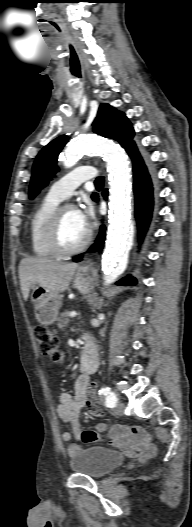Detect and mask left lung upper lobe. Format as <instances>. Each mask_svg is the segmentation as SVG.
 I'll use <instances>...</instances> for the list:
<instances>
[{
  "mask_svg": "<svg viewBox=\"0 0 192 527\" xmlns=\"http://www.w3.org/2000/svg\"><path fill=\"white\" fill-rule=\"evenodd\" d=\"M94 132L118 141L128 151L135 143L132 141L134 130L124 113L112 106L102 103L93 123ZM67 142V136H60L46 145L37 155L29 187V196L33 199L55 175L58 168L56 162L61 149ZM97 200V194L92 195Z\"/></svg>",
  "mask_w": 192,
  "mask_h": 527,
  "instance_id": "obj_1",
  "label": "left lung upper lobe"
}]
</instances>
